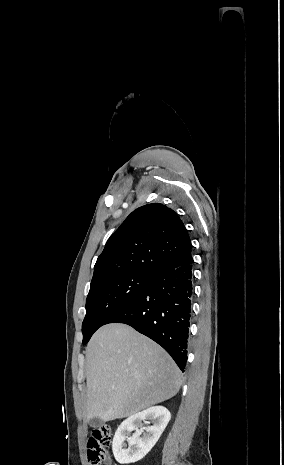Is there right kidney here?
<instances>
[{
    "label": "right kidney",
    "mask_w": 284,
    "mask_h": 465,
    "mask_svg": "<svg viewBox=\"0 0 284 465\" xmlns=\"http://www.w3.org/2000/svg\"><path fill=\"white\" fill-rule=\"evenodd\" d=\"M170 419L171 415L165 407H150L146 411L128 417L121 423L114 435L112 451L116 461L121 465H126V463H136L143 459L157 443ZM142 421H148V425L153 423L152 427L146 429V433L138 429ZM131 431H135L132 437H130ZM142 433H144L143 437H141ZM124 441H127L128 449H125Z\"/></svg>",
    "instance_id": "1"
}]
</instances>
